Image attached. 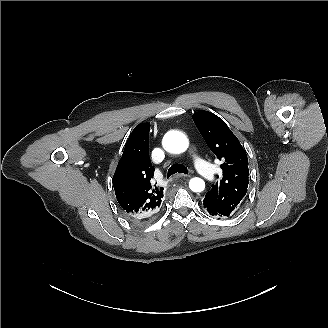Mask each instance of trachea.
I'll list each match as a JSON object with an SVG mask.
<instances>
[{"label": "trachea", "mask_w": 328, "mask_h": 328, "mask_svg": "<svg viewBox=\"0 0 328 328\" xmlns=\"http://www.w3.org/2000/svg\"><path fill=\"white\" fill-rule=\"evenodd\" d=\"M177 172L183 173V174H188L189 173L187 167L183 166L182 164H173L168 169L167 178H169L170 176H172L173 174H175Z\"/></svg>", "instance_id": "trachea-1"}]
</instances>
